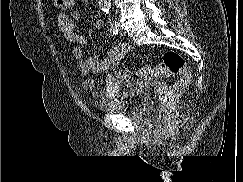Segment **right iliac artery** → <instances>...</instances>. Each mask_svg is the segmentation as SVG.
Instances as JSON below:
<instances>
[{
    "instance_id": "82829eb1",
    "label": "right iliac artery",
    "mask_w": 243,
    "mask_h": 182,
    "mask_svg": "<svg viewBox=\"0 0 243 182\" xmlns=\"http://www.w3.org/2000/svg\"><path fill=\"white\" fill-rule=\"evenodd\" d=\"M110 31L114 34L117 35L119 32L118 25L117 23H113L110 25Z\"/></svg>"
}]
</instances>
